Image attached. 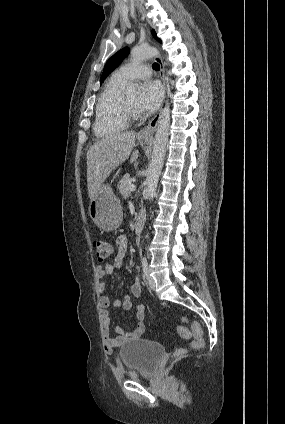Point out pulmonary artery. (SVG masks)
<instances>
[{
    "label": "pulmonary artery",
    "mask_w": 285,
    "mask_h": 424,
    "mask_svg": "<svg viewBox=\"0 0 285 424\" xmlns=\"http://www.w3.org/2000/svg\"><path fill=\"white\" fill-rule=\"evenodd\" d=\"M151 74L149 67L138 63L127 64L116 70L115 75L124 81L130 79H145Z\"/></svg>",
    "instance_id": "obj_1"
}]
</instances>
